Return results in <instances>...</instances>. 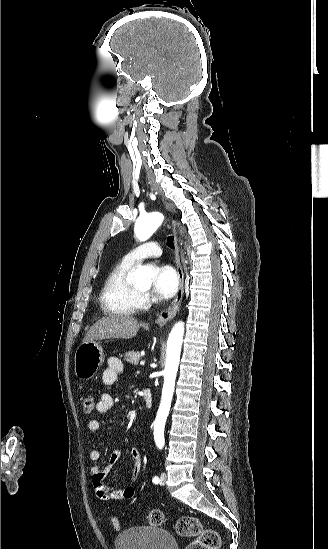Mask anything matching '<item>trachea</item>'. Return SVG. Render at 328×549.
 <instances>
[{"instance_id":"1","label":"trachea","mask_w":328,"mask_h":549,"mask_svg":"<svg viewBox=\"0 0 328 549\" xmlns=\"http://www.w3.org/2000/svg\"><path fill=\"white\" fill-rule=\"evenodd\" d=\"M167 245L168 247H170V249H174V236L173 235H170L169 237H167Z\"/></svg>"}]
</instances>
